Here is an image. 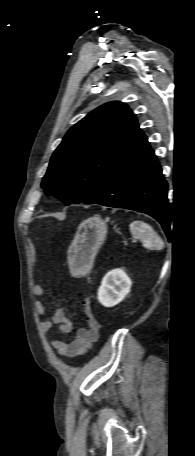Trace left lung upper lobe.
Listing matches in <instances>:
<instances>
[{
	"label": "left lung upper lobe",
	"mask_w": 195,
	"mask_h": 456,
	"mask_svg": "<svg viewBox=\"0 0 195 456\" xmlns=\"http://www.w3.org/2000/svg\"><path fill=\"white\" fill-rule=\"evenodd\" d=\"M139 131L125 103L96 108L67 132L51 157L42 188L66 205L84 203L103 185Z\"/></svg>",
	"instance_id": "left-lung-upper-lobe-1"
}]
</instances>
